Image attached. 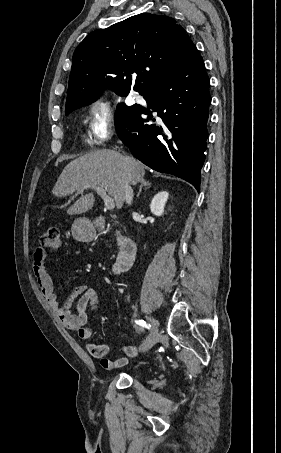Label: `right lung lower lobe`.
Instances as JSON below:
<instances>
[{
	"label": "right lung lower lobe",
	"instance_id": "98d812e1",
	"mask_svg": "<svg viewBox=\"0 0 281 453\" xmlns=\"http://www.w3.org/2000/svg\"><path fill=\"white\" fill-rule=\"evenodd\" d=\"M210 81L202 58L197 55L168 79L143 95L148 107L120 103L115 128L134 157L162 172L170 173L200 190L201 168L208 137Z\"/></svg>",
	"mask_w": 281,
	"mask_h": 453
}]
</instances>
